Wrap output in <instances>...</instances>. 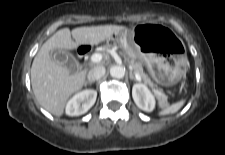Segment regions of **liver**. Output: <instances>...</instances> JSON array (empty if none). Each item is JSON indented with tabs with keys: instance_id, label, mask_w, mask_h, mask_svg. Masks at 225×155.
I'll list each match as a JSON object with an SVG mask.
<instances>
[{
	"instance_id": "6515ba94",
	"label": "liver",
	"mask_w": 225,
	"mask_h": 155,
	"mask_svg": "<svg viewBox=\"0 0 225 155\" xmlns=\"http://www.w3.org/2000/svg\"><path fill=\"white\" fill-rule=\"evenodd\" d=\"M118 25L58 30L36 54L31 67V85L38 103L55 116H62L68 99L85 84L86 73L71 74L50 55L53 49L73 50L80 45L94 46L125 30ZM75 41L72 40V37Z\"/></svg>"
}]
</instances>
